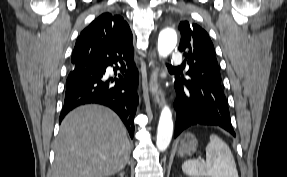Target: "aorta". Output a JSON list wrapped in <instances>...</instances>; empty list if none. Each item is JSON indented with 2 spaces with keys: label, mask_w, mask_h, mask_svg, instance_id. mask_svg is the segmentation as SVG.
I'll list each match as a JSON object with an SVG mask.
<instances>
[{
  "label": "aorta",
  "mask_w": 287,
  "mask_h": 177,
  "mask_svg": "<svg viewBox=\"0 0 287 177\" xmlns=\"http://www.w3.org/2000/svg\"><path fill=\"white\" fill-rule=\"evenodd\" d=\"M177 44V34L173 29H163L158 37V53L161 57H167ZM173 120L172 112L168 106H164L158 123L156 146L158 150L165 151L172 139Z\"/></svg>",
  "instance_id": "obj_1"
}]
</instances>
